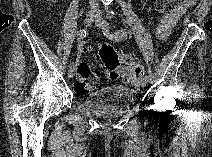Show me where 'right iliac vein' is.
Returning <instances> with one entry per match:
<instances>
[{
  "label": "right iliac vein",
  "instance_id": "right-iliac-vein-1",
  "mask_svg": "<svg viewBox=\"0 0 212 157\" xmlns=\"http://www.w3.org/2000/svg\"><path fill=\"white\" fill-rule=\"evenodd\" d=\"M94 20H96V16L94 15V13L89 12L84 20V25L85 26H90ZM74 76V68H70L68 71V77L72 78Z\"/></svg>",
  "mask_w": 212,
  "mask_h": 157
}]
</instances>
